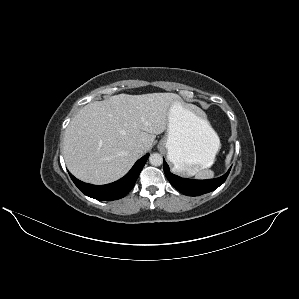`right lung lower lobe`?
I'll return each instance as SVG.
<instances>
[{
  "label": "right lung lower lobe",
  "mask_w": 299,
  "mask_h": 299,
  "mask_svg": "<svg viewBox=\"0 0 299 299\" xmlns=\"http://www.w3.org/2000/svg\"><path fill=\"white\" fill-rule=\"evenodd\" d=\"M149 154H146L139 159L132 169L120 180L107 184V185H92L84 183L76 179L70 174L74 184L79 188L85 195L97 199V200H117L124 197L133 188L141 170L143 169Z\"/></svg>",
  "instance_id": "1"
}]
</instances>
